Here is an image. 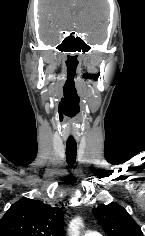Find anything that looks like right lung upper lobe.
I'll list each match as a JSON object with an SVG mask.
<instances>
[{
    "instance_id": "cb5924a9",
    "label": "right lung upper lobe",
    "mask_w": 145,
    "mask_h": 236,
    "mask_svg": "<svg viewBox=\"0 0 145 236\" xmlns=\"http://www.w3.org/2000/svg\"><path fill=\"white\" fill-rule=\"evenodd\" d=\"M0 236H64L63 211L38 200L21 199L0 220Z\"/></svg>"
}]
</instances>
